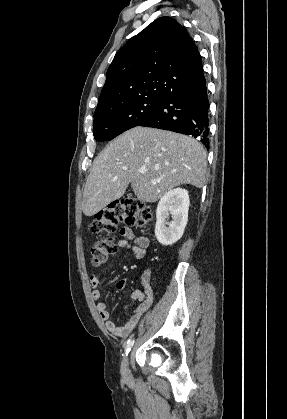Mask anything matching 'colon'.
<instances>
[{
  "instance_id": "colon-1",
  "label": "colon",
  "mask_w": 287,
  "mask_h": 419,
  "mask_svg": "<svg viewBox=\"0 0 287 419\" xmlns=\"http://www.w3.org/2000/svg\"><path fill=\"white\" fill-rule=\"evenodd\" d=\"M152 216L151 209L144 202L135 198H121L95 215L91 230L97 234H112L121 223L143 226ZM115 250L116 245L111 239L94 241L90 248L92 263L96 266L105 263Z\"/></svg>"
}]
</instances>
